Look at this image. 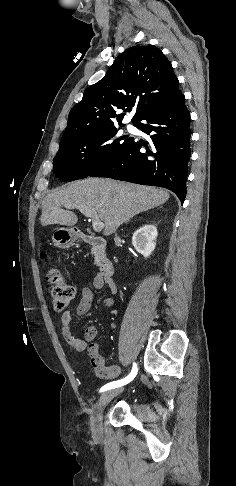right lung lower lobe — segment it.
<instances>
[{"mask_svg": "<svg viewBox=\"0 0 236 486\" xmlns=\"http://www.w3.org/2000/svg\"><path fill=\"white\" fill-rule=\"evenodd\" d=\"M134 125L150 135V142L141 144L133 139L89 176L164 187L183 203L191 154L190 113L185 96L148 107ZM141 146L147 148L145 153L140 152Z\"/></svg>", "mask_w": 236, "mask_h": 486, "instance_id": "98d812e1", "label": "right lung lower lobe"}]
</instances>
